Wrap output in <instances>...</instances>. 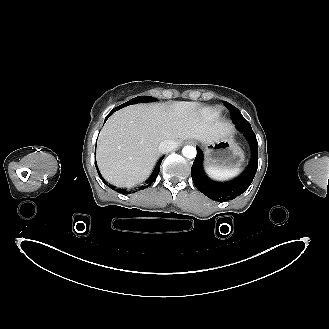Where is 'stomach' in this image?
I'll list each match as a JSON object with an SVG mask.
<instances>
[{"instance_id":"stomach-1","label":"stomach","mask_w":329,"mask_h":329,"mask_svg":"<svg viewBox=\"0 0 329 329\" xmlns=\"http://www.w3.org/2000/svg\"><path fill=\"white\" fill-rule=\"evenodd\" d=\"M204 148L205 165L208 168L231 170L240 168L245 162V155L232 134L207 143Z\"/></svg>"}]
</instances>
